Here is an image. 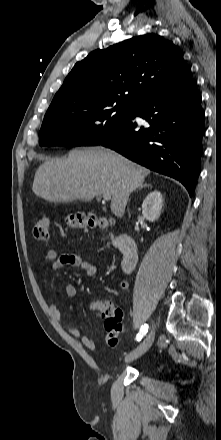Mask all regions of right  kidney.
Wrapping results in <instances>:
<instances>
[{"mask_svg": "<svg viewBox=\"0 0 221 440\" xmlns=\"http://www.w3.org/2000/svg\"><path fill=\"white\" fill-rule=\"evenodd\" d=\"M163 198L159 191L149 193L142 203V215L150 222L156 221L161 214Z\"/></svg>", "mask_w": 221, "mask_h": 440, "instance_id": "ca27d5eb", "label": "right kidney"}]
</instances>
